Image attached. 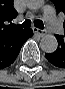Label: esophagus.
I'll list each match as a JSON object with an SVG mask.
<instances>
[{
	"label": "esophagus",
	"instance_id": "obj_1",
	"mask_svg": "<svg viewBox=\"0 0 65 89\" xmlns=\"http://www.w3.org/2000/svg\"><path fill=\"white\" fill-rule=\"evenodd\" d=\"M33 32L41 37L45 36L46 35V31L44 30H40V29H37V28H33Z\"/></svg>",
	"mask_w": 65,
	"mask_h": 89
}]
</instances>
